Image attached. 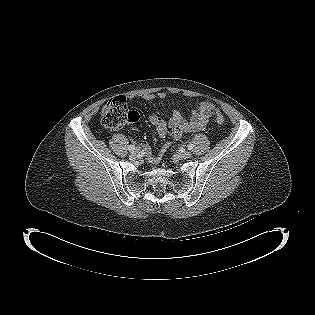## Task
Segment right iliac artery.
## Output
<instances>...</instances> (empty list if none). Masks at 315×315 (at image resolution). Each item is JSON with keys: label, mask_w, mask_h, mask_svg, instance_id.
Returning a JSON list of instances; mask_svg holds the SVG:
<instances>
[{"label": "right iliac artery", "mask_w": 315, "mask_h": 315, "mask_svg": "<svg viewBox=\"0 0 315 315\" xmlns=\"http://www.w3.org/2000/svg\"><path fill=\"white\" fill-rule=\"evenodd\" d=\"M135 150V146L134 145H129L128 146V151L132 152Z\"/></svg>", "instance_id": "obj_1"}]
</instances>
